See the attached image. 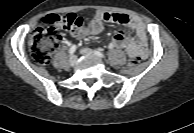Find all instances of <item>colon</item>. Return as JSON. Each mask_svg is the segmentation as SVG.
I'll return each instance as SVG.
<instances>
[{
  "label": "colon",
  "instance_id": "5ec220e1",
  "mask_svg": "<svg viewBox=\"0 0 194 133\" xmlns=\"http://www.w3.org/2000/svg\"><path fill=\"white\" fill-rule=\"evenodd\" d=\"M84 28V19L74 13L51 14L44 19V25L38 27L28 41L29 50L33 60L39 65L49 63L53 50L62 39V32L68 31L73 35ZM139 57L129 59V65L134 66Z\"/></svg>",
  "mask_w": 194,
  "mask_h": 133
}]
</instances>
